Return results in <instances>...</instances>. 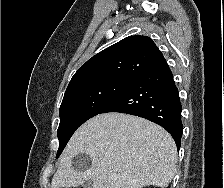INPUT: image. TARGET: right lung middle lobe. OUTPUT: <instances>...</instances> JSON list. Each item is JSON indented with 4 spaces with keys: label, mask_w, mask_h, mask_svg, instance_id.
I'll use <instances>...</instances> for the list:
<instances>
[{
    "label": "right lung middle lobe",
    "mask_w": 224,
    "mask_h": 188,
    "mask_svg": "<svg viewBox=\"0 0 224 188\" xmlns=\"http://www.w3.org/2000/svg\"><path fill=\"white\" fill-rule=\"evenodd\" d=\"M134 79L104 78L67 87L60 106L58 128L59 149L62 153L75 130L124 91Z\"/></svg>",
    "instance_id": "1"
}]
</instances>
